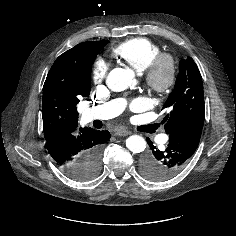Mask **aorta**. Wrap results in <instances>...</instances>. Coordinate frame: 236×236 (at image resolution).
Masks as SVG:
<instances>
[{
  "instance_id": "obj_1",
  "label": "aorta",
  "mask_w": 236,
  "mask_h": 236,
  "mask_svg": "<svg viewBox=\"0 0 236 236\" xmlns=\"http://www.w3.org/2000/svg\"><path fill=\"white\" fill-rule=\"evenodd\" d=\"M133 78L131 69L115 68L108 74L106 84L112 91L121 92L133 84ZM126 147L133 153H141L146 148V141L142 136L132 135L127 138Z\"/></svg>"
}]
</instances>
